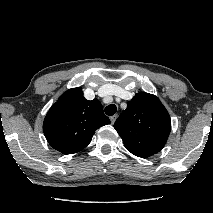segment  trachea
<instances>
[{"instance_id":"trachea-1","label":"trachea","mask_w":213,"mask_h":213,"mask_svg":"<svg viewBox=\"0 0 213 213\" xmlns=\"http://www.w3.org/2000/svg\"><path fill=\"white\" fill-rule=\"evenodd\" d=\"M117 111V107L115 104H110L108 105L106 108H105V113L108 115V116H112L116 113Z\"/></svg>"}]
</instances>
